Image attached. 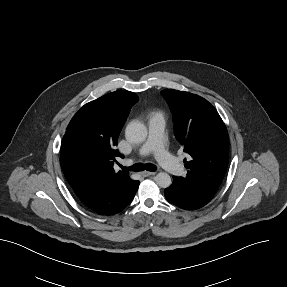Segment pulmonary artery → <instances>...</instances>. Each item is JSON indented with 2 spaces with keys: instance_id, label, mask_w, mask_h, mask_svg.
Returning a JSON list of instances; mask_svg holds the SVG:
<instances>
[{
  "instance_id": "obj_1",
  "label": "pulmonary artery",
  "mask_w": 287,
  "mask_h": 287,
  "mask_svg": "<svg viewBox=\"0 0 287 287\" xmlns=\"http://www.w3.org/2000/svg\"><path fill=\"white\" fill-rule=\"evenodd\" d=\"M148 137L139 148V155L145 156L150 152L154 153L157 161L171 174L180 176L184 174V167L176 157L171 155L165 147L163 119L152 117L148 122ZM128 163V162H126Z\"/></svg>"
}]
</instances>
